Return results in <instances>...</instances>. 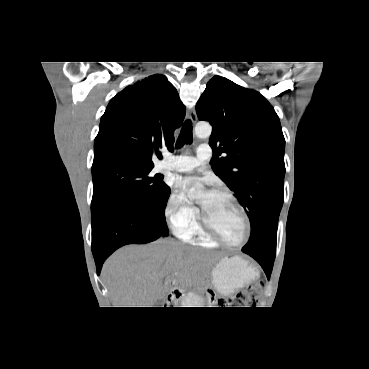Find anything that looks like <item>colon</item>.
<instances>
[{
    "label": "colon",
    "mask_w": 369,
    "mask_h": 369,
    "mask_svg": "<svg viewBox=\"0 0 369 369\" xmlns=\"http://www.w3.org/2000/svg\"><path fill=\"white\" fill-rule=\"evenodd\" d=\"M263 289V283L257 282L249 288L240 291L235 299L224 301L220 300L219 304L222 306H235V307H254L258 301V294Z\"/></svg>",
    "instance_id": "colon-1"
}]
</instances>
